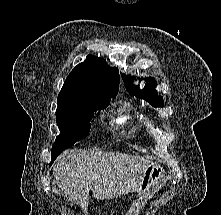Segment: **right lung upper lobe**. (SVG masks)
Returning a JSON list of instances; mask_svg holds the SVG:
<instances>
[{
    "label": "right lung upper lobe",
    "instance_id": "1",
    "mask_svg": "<svg viewBox=\"0 0 221 215\" xmlns=\"http://www.w3.org/2000/svg\"><path fill=\"white\" fill-rule=\"evenodd\" d=\"M119 72L93 55L78 64L66 78L58 95V106L81 105L116 96Z\"/></svg>",
    "mask_w": 221,
    "mask_h": 215
}]
</instances>
